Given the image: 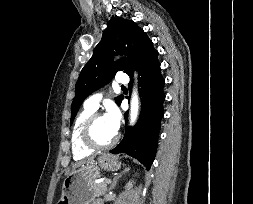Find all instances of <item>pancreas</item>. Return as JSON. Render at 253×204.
I'll return each mask as SVG.
<instances>
[{
  "label": "pancreas",
  "instance_id": "cf45deb5",
  "mask_svg": "<svg viewBox=\"0 0 253 204\" xmlns=\"http://www.w3.org/2000/svg\"><path fill=\"white\" fill-rule=\"evenodd\" d=\"M93 191L97 196L104 195L107 192V183L101 182V183H95L93 185Z\"/></svg>",
  "mask_w": 253,
  "mask_h": 204
}]
</instances>
